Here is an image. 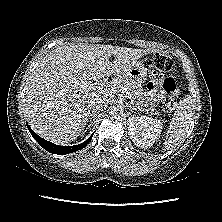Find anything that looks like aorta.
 Instances as JSON below:
<instances>
[{
  "label": "aorta",
  "mask_w": 222,
  "mask_h": 222,
  "mask_svg": "<svg viewBox=\"0 0 222 222\" xmlns=\"http://www.w3.org/2000/svg\"><path fill=\"white\" fill-rule=\"evenodd\" d=\"M124 112V107L120 104H116L112 107L111 109V113L114 115V116H120L122 115Z\"/></svg>",
  "instance_id": "aorta-1"
}]
</instances>
